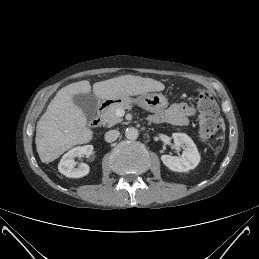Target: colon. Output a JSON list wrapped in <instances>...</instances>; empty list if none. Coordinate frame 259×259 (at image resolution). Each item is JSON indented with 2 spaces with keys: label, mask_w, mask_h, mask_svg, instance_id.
I'll use <instances>...</instances> for the list:
<instances>
[{
  "label": "colon",
  "mask_w": 259,
  "mask_h": 259,
  "mask_svg": "<svg viewBox=\"0 0 259 259\" xmlns=\"http://www.w3.org/2000/svg\"><path fill=\"white\" fill-rule=\"evenodd\" d=\"M199 131L204 139H212L218 132L220 123L217 118L218 107L212 95L206 91L199 92Z\"/></svg>",
  "instance_id": "obj_1"
}]
</instances>
